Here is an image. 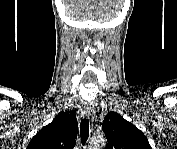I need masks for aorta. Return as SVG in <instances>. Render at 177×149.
<instances>
[{
  "mask_svg": "<svg viewBox=\"0 0 177 149\" xmlns=\"http://www.w3.org/2000/svg\"><path fill=\"white\" fill-rule=\"evenodd\" d=\"M106 144V139L103 136H95L90 140L89 149H102Z\"/></svg>",
  "mask_w": 177,
  "mask_h": 149,
  "instance_id": "1",
  "label": "aorta"
}]
</instances>
